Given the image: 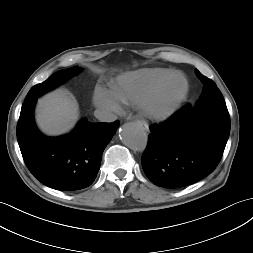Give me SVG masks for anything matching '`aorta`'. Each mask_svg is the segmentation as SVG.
Instances as JSON below:
<instances>
[{"instance_id": "1", "label": "aorta", "mask_w": 253, "mask_h": 253, "mask_svg": "<svg viewBox=\"0 0 253 253\" xmlns=\"http://www.w3.org/2000/svg\"><path fill=\"white\" fill-rule=\"evenodd\" d=\"M120 139L127 147L135 151H143L148 141L144 127L136 122H129L122 126Z\"/></svg>"}]
</instances>
